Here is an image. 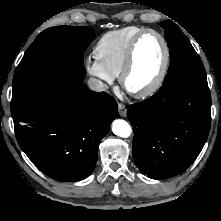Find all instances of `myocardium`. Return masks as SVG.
I'll list each match as a JSON object with an SVG mask.
<instances>
[{
	"mask_svg": "<svg viewBox=\"0 0 221 221\" xmlns=\"http://www.w3.org/2000/svg\"><path fill=\"white\" fill-rule=\"evenodd\" d=\"M147 34H153V35L157 36L159 38V40L161 41L162 46H163V50H164L163 62H162L160 71H159L156 79L153 81V83L151 85H149L147 88L139 90V91H132L127 86V79H128V76L132 70V67L134 65L135 52H136L137 45H138L139 41ZM169 65H170V49H169V45H168L165 37L159 31H157L155 29L145 28L142 31H140L132 39V41L130 42V44L128 46L125 60H124V64L122 66V70L119 75L120 84L128 93L132 94L133 96H135L137 98H147V97L155 94L161 88V86L166 78V75H167V72L169 69Z\"/></svg>",
	"mask_w": 221,
	"mask_h": 221,
	"instance_id": "obj_1",
	"label": "myocardium"
}]
</instances>
